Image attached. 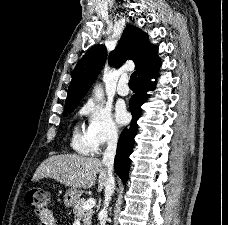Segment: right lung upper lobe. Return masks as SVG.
Wrapping results in <instances>:
<instances>
[{
  "mask_svg": "<svg viewBox=\"0 0 228 225\" xmlns=\"http://www.w3.org/2000/svg\"><path fill=\"white\" fill-rule=\"evenodd\" d=\"M158 47L149 42L148 35L135 26L129 25L124 30L116 49L111 52L109 64L118 68L128 59L135 63L136 72H140L149 63L158 58ZM106 60V47L97 45L91 48L77 63L65 107L79 104L89 87L96 79Z\"/></svg>",
  "mask_w": 228,
  "mask_h": 225,
  "instance_id": "obj_1",
  "label": "right lung upper lobe"
}]
</instances>
